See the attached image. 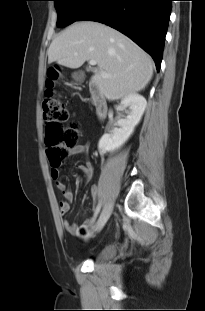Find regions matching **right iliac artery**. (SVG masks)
I'll use <instances>...</instances> for the list:
<instances>
[{
  "label": "right iliac artery",
  "instance_id": "1",
  "mask_svg": "<svg viewBox=\"0 0 205 311\" xmlns=\"http://www.w3.org/2000/svg\"><path fill=\"white\" fill-rule=\"evenodd\" d=\"M99 211H100V206H98V207L96 208L95 214H94V219H93V220L96 219V217H97Z\"/></svg>",
  "mask_w": 205,
  "mask_h": 311
}]
</instances>
